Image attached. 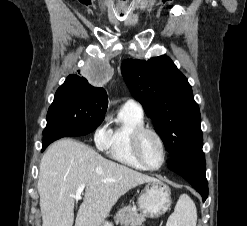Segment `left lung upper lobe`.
Instances as JSON below:
<instances>
[{
    "mask_svg": "<svg viewBox=\"0 0 247 226\" xmlns=\"http://www.w3.org/2000/svg\"><path fill=\"white\" fill-rule=\"evenodd\" d=\"M124 80L152 119L170 157L203 146L201 117L190 84L167 56L126 59Z\"/></svg>",
    "mask_w": 247,
    "mask_h": 226,
    "instance_id": "5c2ea615",
    "label": "left lung upper lobe"
}]
</instances>
